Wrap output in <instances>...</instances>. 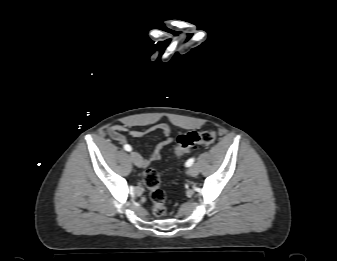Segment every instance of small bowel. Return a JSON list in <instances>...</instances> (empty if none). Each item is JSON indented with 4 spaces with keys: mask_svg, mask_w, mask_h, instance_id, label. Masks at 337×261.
Instances as JSON below:
<instances>
[{
    "mask_svg": "<svg viewBox=\"0 0 337 261\" xmlns=\"http://www.w3.org/2000/svg\"><path fill=\"white\" fill-rule=\"evenodd\" d=\"M153 131H158L162 134L163 140L160 141L152 151V153L147 156H141L143 166L146 167L149 164L158 161L161 158V151L164 147L168 146L172 141L173 138L171 136L170 127L165 123H160L155 126H152L148 130L142 131L137 129H130L124 125H114L108 129V135L120 144L127 145V138L124 135L125 132H128L132 138L139 139L142 138L145 134Z\"/></svg>",
    "mask_w": 337,
    "mask_h": 261,
    "instance_id": "small-bowel-1",
    "label": "small bowel"
}]
</instances>
